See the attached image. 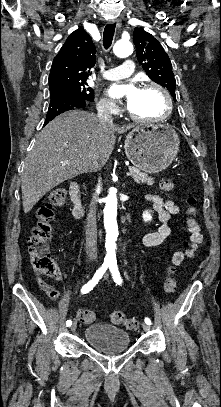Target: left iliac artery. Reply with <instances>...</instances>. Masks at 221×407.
<instances>
[{
    "mask_svg": "<svg viewBox=\"0 0 221 407\" xmlns=\"http://www.w3.org/2000/svg\"><path fill=\"white\" fill-rule=\"evenodd\" d=\"M109 269H110V272L112 274L113 280L117 284L121 285L122 284V278H121L120 273L118 271L117 264L116 263L110 264ZM144 321H145L146 324L151 325V320L149 318L146 317Z\"/></svg>",
    "mask_w": 221,
    "mask_h": 407,
    "instance_id": "1",
    "label": "left iliac artery"
}]
</instances>
